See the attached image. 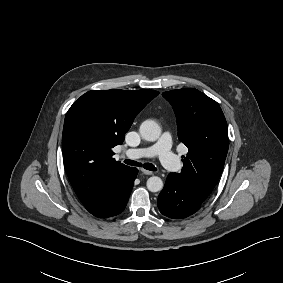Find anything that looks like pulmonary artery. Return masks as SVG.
<instances>
[{
  "label": "pulmonary artery",
  "mask_w": 283,
  "mask_h": 283,
  "mask_svg": "<svg viewBox=\"0 0 283 283\" xmlns=\"http://www.w3.org/2000/svg\"><path fill=\"white\" fill-rule=\"evenodd\" d=\"M124 154L131 159L158 156L162 166L171 171H178L181 167L179 158L171 150V134L169 132L163 133L159 140L153 144L139 149H129Z\"/></svg>",
  "instance_id": "1"
}]
</instances>
